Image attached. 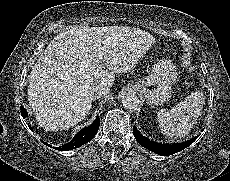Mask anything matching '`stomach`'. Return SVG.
<instances>
[{
	"instance_id": "1",
	"label": "stomach",
	"mask_w": 230,
	"mask_h": 181,
	"mask_svg": "<svg viewBox=\"0 0 230 181\" xmlns=\"http://www.w3.org/2000/svg\"><path fill=\"white\" fill-rule=\"evenodd\" d=\"M176 67L170 60L160 61L152 73L134 84V88L144 95L147 103L154 107L171 97L172 83L176 80Z\"/></svg>"
}]
</instances>
